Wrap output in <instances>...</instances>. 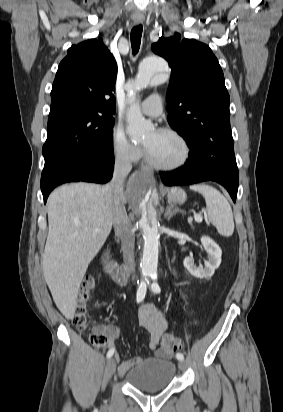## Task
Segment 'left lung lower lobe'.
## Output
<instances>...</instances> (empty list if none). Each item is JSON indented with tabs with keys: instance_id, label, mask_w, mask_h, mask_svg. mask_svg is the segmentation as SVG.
Instances as JSON below:
<instances>
[{
	"instance_id": "left-lung-lower-lobe-1",
	"label": "left lung lower lobe",
	"mask_w": 283,
	"mask_h": 412,
	"mask_svg": "<svg viewBox=\"0 0 283 412\" xmlns=\"http://www.w3.org/2000/svg\"><path fill=\"white\" fill-rule=\"evenodd\" d=\"M228 160L223 157H211L198 143L193 145L186 164L171 172H160L163 183L167 186L194 184L203 181H215L223 185L233 201H236L238 182L227 177Z\"/></svg>"
}]
</instances>
